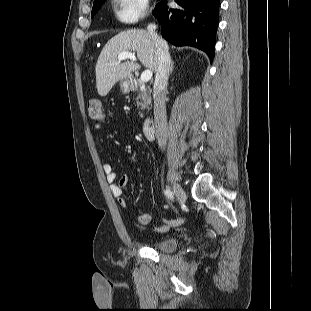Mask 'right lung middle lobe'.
Here are the masks:
<instances>
[{
    "instance_id": "obj_1",
    "label": "right lung middle lobe",
    "mask_w": 311,
    "mask_h": 311,
    "mask_svg": "<svg viewBox=\"0 0 311 311\" xmlns=\"http://www.w3.org/2000/svg\"><path fill=\"white\" fill-rule=\"evenodd\" d=\"M106 0H97L94 1L93 4V8H92V12H91V17H93L96 12L99 10V8L102 6V4L105 2Z\"/></svg>"
}]
</instances>
